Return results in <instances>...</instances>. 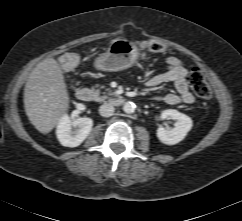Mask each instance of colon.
Listing matches in <instances>:
<instances>
[{"label":"colon","instance_id":"colon-1","mask_svg":"<svg viewBox=\"0 0 242 221\" xmlns=\"http://www.w3.org/2000/svg\"><path fill=\"white\" fill-rule=\"evenodd\" d=\"M143 51L163 53L167 46L159 41L141 42L138 44ZM78 56L75 53H65L60 58V66L63 70H71L78 64ZM188 82L193 92L202 100H209L212 97V90L205 80L200 69L194 67L190 70Z\"/></svg>","mask_w":242,"mask_h":221}]
</instances>
